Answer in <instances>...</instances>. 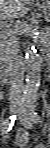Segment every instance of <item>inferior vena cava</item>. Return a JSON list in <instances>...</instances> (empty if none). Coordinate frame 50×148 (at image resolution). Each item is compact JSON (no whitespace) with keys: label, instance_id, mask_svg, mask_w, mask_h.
I'll list each match as a JSON object with an SVG mask.
<instances>
[{"label":"inferior vena cava","instance_id":"602c4592","mask_svg":"<svg viewBox=\"0 0 50 148\" xmlns=\"http://www.w3.org/2000/svg\"><path fill=\"white\" fill-rule=\"evenodd\" d=\"M18 18V17H17ZM18 20L11 21V28L7 32V37L10 42L9 49L12 51V55L14 56L17 52L16 48H14L13 45H16L18 43ZM14 43V44H13ZM23 78H24V71L23 68L18 66L17 71L15 72L13 76V81L11 83V87L9 90V98L12 101H19L22 98V91H23Z\"/></svg>","mask_w":50,"mask_h":148}]
</instances>
